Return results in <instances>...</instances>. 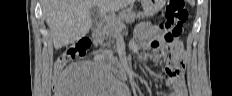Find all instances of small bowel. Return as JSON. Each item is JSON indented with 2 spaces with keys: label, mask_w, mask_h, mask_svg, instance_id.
Instances as JSON below:
<instances>
[{
  "label": "small bowel",
  "mask_w": 232,
  "mask_h": 96,
  "mask_svg": "<svg viewBox=\"0 0 232 96\" xmlns=\"http://www.w3.org/2000/svg\"><path fill=\"white\" fill-rule=\"evenodd\" d=\"M161 20L164 18L162 15L159 17ZM155 37V27L149 22L140 23L134 33V39L131 42L133 47L138 45H151ZM176 54L174 56L173 64L165 70L166 79L165 83L171 87L172 96H186V86L184 76L181 73L185 65V57L183 48L180 41L175 43Z\"/></svg>",
  "instance_id": "small-bowel-1"
}]
</instances>
